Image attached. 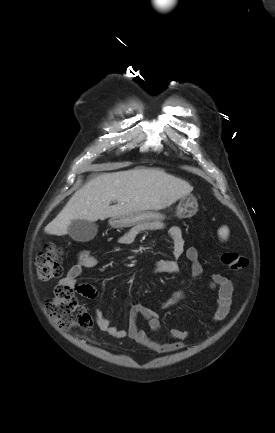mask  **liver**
<instances>
[{
	"instance_id": "obj_1",
	"label": "liver",
	"mask_w": 275,
	"mask_h": 433,
	"mask_svg": "<svg viewBox=\"0 0 275 433\" xmlns=\"http://www.w3.org/2000/svg\"><path fill=\"white\" fill-rule=\"evenodd\" d=\"M193 187L186 181L159 169L137 168L104 173L77 190L45 232L67 234L73 220L95 222L98 219L157 210L189 195ZM112 201L117 204L110 206Z\"/></svg>"
}]
</instances>
